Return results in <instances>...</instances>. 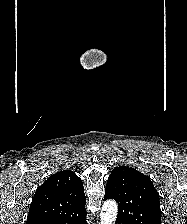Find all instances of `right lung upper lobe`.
Here are the masks:
<instances>
[{
  "label": "right lung upper lobe",
  "mask_w": 187,
  "mask_h": 224,
  "mask_svg": "<svg viewBox=\"0 0 187 224\" xmlns=\"http://www.w3.org/2000/svg\"><path fill=\"white\" fill-rule=\"evenodd\" d=\"M81 179L70 170L51 175L36 191L26 224H72L86 217Z\"/></svg>",
  "instance_id": "1"
}]
</instances>
